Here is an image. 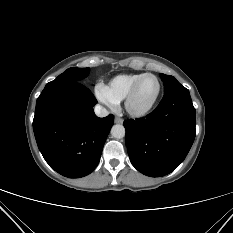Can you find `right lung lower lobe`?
<instances>
[{
    "mask_svg": "<svg viewBox=\"0 0 233 233\" xmlns=\"http://www.w3.org/2000/svg\"><path fill=\"white\" fill-rule=\"evenodd\" d=\"M91 91L79 82L46 85L36 102L33 130L40 152L59 174L80 178L98 165L114 123L99 118Z\"/></svg>",
    "mask_w": 233,
    "mask_h": 233,
    "instance_id": "98d812e1",
    "label": "right lung lower lobe"
}]
</instances>
